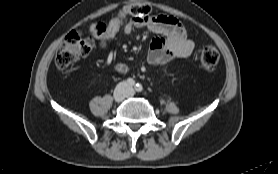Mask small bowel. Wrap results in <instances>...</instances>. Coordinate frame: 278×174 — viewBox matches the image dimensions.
<instances>
[{
	"label": "small bowel",
	"instance_id": "small-bowel-1",
	"mask_svg": "<svg viewBox=\"0 0 278 174\" xmlns=\"http://www.w3.org/2000/svg\"><path fill=\"white\" fill-rule=\"evenodd\" d=\"M135 28H146L157 35L150 44L147 60L150 64L163 65L175 58L189 57L194 50V42L188 38L183 25L174 17L163 14L130 16L123 20L120 30L130 34ZM102 49L111 38H98Z\"/></svg>",
	"mask_w": 278,
	"mask_h": 174
}]
</instances>
